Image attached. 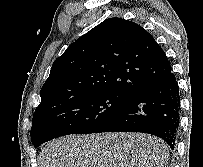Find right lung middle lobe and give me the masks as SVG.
<instances>
[{
    "label": "right lung middle lobe",
    "mask_w": 203,
    "mask_h": 167,
    "mask_svg": "<svg viewBox=\"0 0 203 167\" xmlns=\"http://www.w3.org/2000/svg\"><path fill=\"white\" fill-rule=\"evenodd\" d=\"M128 98L112 92L73 97L33 115L31 140L35 146L69 134H89L118 111Z\"/></svg>",
    "instance_id": "obj_1"
}]
</instances>
